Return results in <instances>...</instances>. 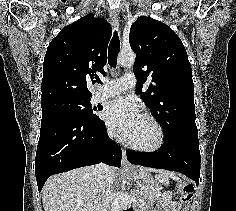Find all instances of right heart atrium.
I'll use <instances>...</instances> for the list:
<instances>
[{
	"label": "right heart atrium",
	"instance_id": "obj_1",
	"mask_svg": "<svg viewBox=\"0 0 236 211\" xmlns=\"http://www.w3.org/2000/svg\"><path fill=\"white\" fill-rule=\"evenodd\" d=\"M106 132L109 137L116 138V132L111 125L106 124Z\"/></svg>",
	"mask_w": 236,
	"mask_h": 211
}]
</instances>
